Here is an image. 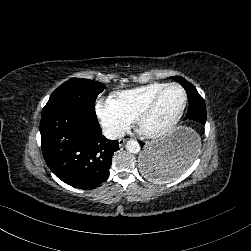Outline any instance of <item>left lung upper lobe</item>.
Segmentation results:
<instances>
[{
	"label": "left lung upper lobe",
	"instance_id": "obj_1",
	"mask_svg": "<svg viewBox=\"0 0 251 251\" xmlns=\"http://www.w3.org/2000/svg\"><path fill=\"white\" fill-rule=\"evenodd\" d=\"M175 81H178L186 90L187 93L196 95L198 98H202L199 93L197 92L196 88L187 80H185L183 77L175 76L172 77Z\"/></svg>",
	"mask_w": 251,
	"mask_h": 251
}]
</instances>
